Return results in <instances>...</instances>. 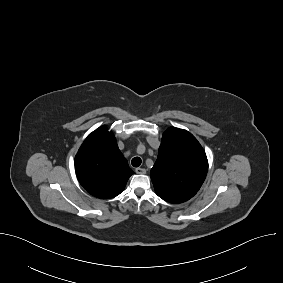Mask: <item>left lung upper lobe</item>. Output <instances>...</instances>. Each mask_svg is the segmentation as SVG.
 Segmentation results:
<instances>
[{"label": "left lung upper lobe", "mask_w": 283, "mask_h": 283, "mask_svg": "<svg viewBox=\"0 0 283 283\" xmlns=\"http://www.w3.org/2000/svg\"><path fill=\"white\" fill-rule=\"evenodd\" d=\"M208 171L204 149L188 131L167 129L150 177L156 194L170 203H182L200 189Z\"/></svg>", "instance_id": "obj_1"}]
</instances>
